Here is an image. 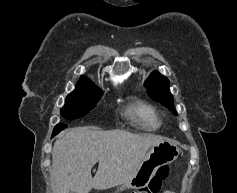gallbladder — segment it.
I'll use <instances>...</instances> for the list:
<instances>
[{
  "label": "gallbladder",
  "instance_id": "1",
  "mask_svg": "<svg viewBox=\"0 0 237 193\" xmlns=\"http://www.w3.org/2000/svg\"><path fill=\"white\" fill-rule=\"evenodd\" d=\"M69 193H75L74 191H69Z\"/></svg>",
  "mask_w": 237,
  "mask_h": 193
}]
</instances>
